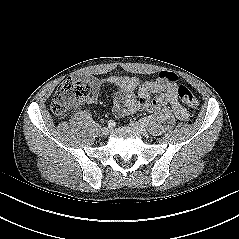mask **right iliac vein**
<instances>
[{
  "label": "right iliac vein",
  "mask_w": 239,
  "mask_h": 239,
  "mask_svg": "<svg viewBox=\"0 0 239 239\" xmlns=\"http://www.w3.org/2000/svg\"><path fill=\"white\" fill-rule=\"evenodd\" d=\"M111 130H112L111 127H103L101 131H102V134H103V135H106V136H107V135L110 134Z\"/></svg>",
  "instance_id": "right-iliac-vein-1"
}]
</instances>
